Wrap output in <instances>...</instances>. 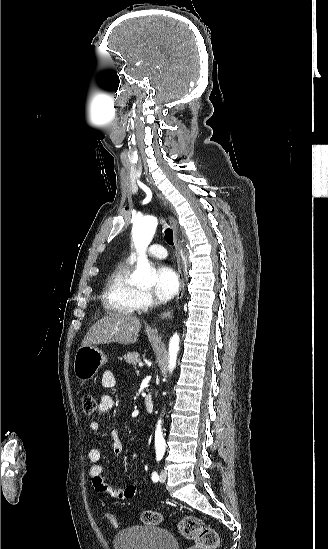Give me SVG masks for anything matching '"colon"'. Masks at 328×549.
<instances>
[{
  "label": "colon",
  "mask_w": 328,
  "mask_h": 549,
  "mask_svg": "<svg viewBox=\"0 0 328 549\" xmlns=\"http://www.w3.org/2000/svg\"><path fill=\"white\" fill-rule=\"evenodd\" d=\"M82 407L85 414H92L97 407L95 398L91 394L83 395ZM103 518L110 527L118 528L119 522L114 515L105 513ZM141 520L147 525H159L162 516L158 511L145 510L141 514ZM178 531L183 538L192 542L188 549H216L219 546L217 532L197 517L185 516L181 518L178 523Z\"/></svg>",
  "instance_id": "obj_1"
}]
</instances>
